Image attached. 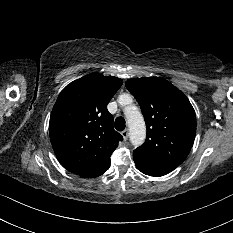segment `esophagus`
<instances>
[{"label": "esophagus", "instance_id": "esophagus-1", "mask_svg": "<svg viewBox=\"0 0 233 233\" xmlns=\"http://www.w3.org/2000/svg\"><path fill=\"white\" fill-rule=\"evenodd\" d=\"M121 135L123 136L124 140H127L128 139V135H129L128 129L123 130L121 132Z\"/></svg>", "mask_w": 233, "mask_h": 233}]
</instances>
